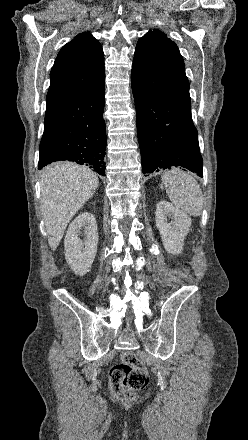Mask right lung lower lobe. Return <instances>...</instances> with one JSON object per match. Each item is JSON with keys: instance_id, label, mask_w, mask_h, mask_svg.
Wrapping results in <instances>:
<instances>
[{"instance_id": "98d812e1", "label": "right lung lower lobe", "mask_w": 248, "mask_h": 440, "mask_svg": "<svg viewBox=\"0 0 248 440\" xmlns=\"http://www.w3.org/2000/svg\"><path fill=\"white\" fill-rule=\"evenodd\" d=\"M105 84L46 104L38 169L55 161H75L105 175Z\"/></svg>"}]
</instances>
